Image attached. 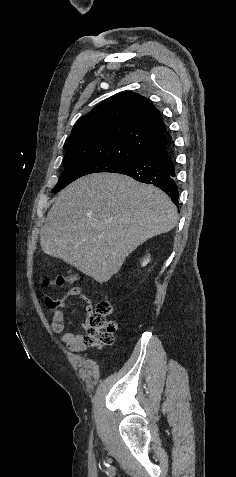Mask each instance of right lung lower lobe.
Here are the masks:
<instances>
[{"mask_svg": "<svg viewBox=\"0 0 236 477\" xmlns=\"http://www.w3.org/2000/svg\"><path fill=\"white\" fill-rule=\"evenodd\" d=\"M114 173L128 175L135 180L153 184L162 189L178 205V186L175 180V167L168 152L167 144L131 162Z\"/></svg>", "mask_w": 236, "mask_h": 477, "instance_id": "1", "label": "right lung lower lobe"}]
</instances>
